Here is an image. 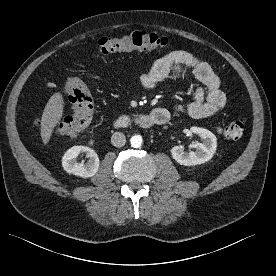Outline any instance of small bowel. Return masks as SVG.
<instances>
[{
    "mask_svg": "<svg viewBox=\"0 0 276 276\" xmlns=\"http://www.w3.org/2000/svg\"><path fill=\"white\" fill-rule=\"evenodd\" d=\"M190 70L194 77L202 84L194 90L192 99L188 102H178L174 105V112L187 113L194 118H204L215 114L224 107L226 97L220 89V81L211 66L188 51L176 50L154 62L149 71L139 75V83L146 89L153 88L158 82L171 74ZM48 88H56L57 84L49 82ZM165 108H155L156 110Z\"/></svg>",
    "mask_w": 276,
    "mask_h": 276,
    "instance_id": "1",
    "label": "small bowel"
}]
</instances>
